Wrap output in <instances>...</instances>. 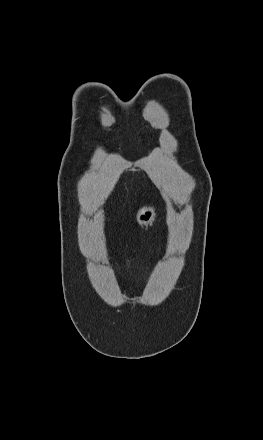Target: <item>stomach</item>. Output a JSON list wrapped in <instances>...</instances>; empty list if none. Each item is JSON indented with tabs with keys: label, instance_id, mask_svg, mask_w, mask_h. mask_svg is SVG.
Instances as JSON below:
<instances>
[{
	"label": "stomach",
	"instance_id": "0dacf381",
	"mask_svg": "<svg viewBox=\"0 0 263 440\" xmlns=\"http://www.w3.org/2000/svg\"><path fill=\"white\" fill-rule=\"evenodd\" d=\"M136 218L137 222L142 226L152 224L155 220V209L150 206H143L137 211Z\"/></svg>",
	"mask_w": 263,
	"mask_h": 440
}]
</instances>
